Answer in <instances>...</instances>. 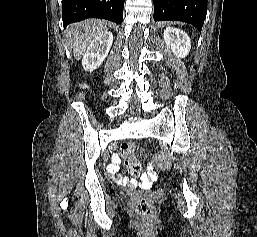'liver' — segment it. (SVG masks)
Instances as JSON below:
<instances>
[{"instance_id": "liver-1", "label": "liver", "mask_w": 257, "mask_h": 237, "mask_svg": "<svg viewBox=\"0 0 257 237\" xmlns=\"http://www.w3.org/2000/svg\"><path fill=\"white\" fill-rule=\"evenodd\" d=\"M107 27L101 20H86L80 24L72 25L67 31V37L72 41L75 59H80L90 43L99 35L105 33Z\"/></svg>"}]
</instances>
